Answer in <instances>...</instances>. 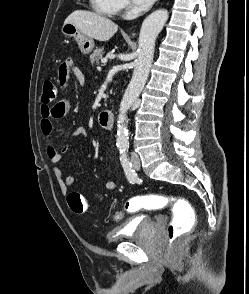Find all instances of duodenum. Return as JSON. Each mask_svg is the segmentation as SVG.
Here are the masks:
<instances>
[{
  "mask_svg": "<svg viewBox=\"0 0 249 294\" xmlns=\"http://www.w3.org/2000/svg\"><path fill=\"white\" fill-rule=\"evenodd\" d=\"M113 122L114 115L111 110H103L100 112L98 116V123L102 128L110 130L113 126Z\"/></svg>",
  "mask_w": 249,
  "mask_h": 294,
  "instance_id": "410a0bca",
  "label": "duodenum"
}]
</instances>
